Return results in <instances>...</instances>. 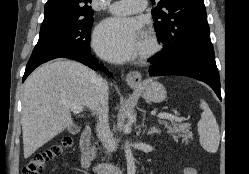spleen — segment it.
<instances>
[{
    "label": "spleen",
    "mask_w": 249,
    "mask_h": 174,
    "mask_svg": "<svg viewBox=\"0 0 249 174\" xmlns=\"http://www.w3.org/2000/svg\"><path fill=\"white\" fill-rule=\"evenodd\" d=\"M200 107L203 110L198 122L200 144L207 152L216 153L220 142L218 123L204 100H201Z\"/></svg>",
    "instance_id": "obj_1"
}]
</instances>
